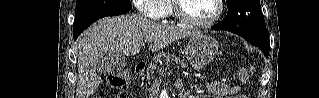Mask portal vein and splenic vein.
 I'll return each mask as SVG.
<instances>
[{
	"label": "portal vein and splenic vein",
	"mask_w": 319,
	"mask_h": 98,
	"mask_svg": "<svg viewBox=\"0 0 319 98\" xmlns=\"http://www.w3.org/2000/svg\"><path fill=\"white\" fill-rule=\"evenodd\" d=\"M146 42H147V43L152 42V38H148V39L146 40Z\"/></svg>",
	"instance_id": "1"
}]
</instances>
